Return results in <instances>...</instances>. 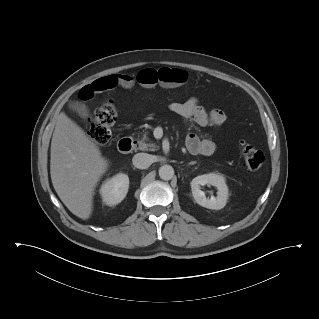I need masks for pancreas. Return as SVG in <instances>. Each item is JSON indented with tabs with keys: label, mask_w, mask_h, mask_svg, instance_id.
<instances>
[{
	"label": "pancreas",
	"mask_w": 319,
	"mask_h": 319,
	"mask_svg": "<svg viewBox=\"0 0 319 319\" xmlns=\"http://www.w3.org/2000/svg\"><path fill=\"white\" fill-rule=\"evenodd\" d=\"M148 132H145L142 138L138 141V148L142 151H156L159 149L155 143H152L147 136Z\"/></svg>",
	"instance_id": "1"
}]
</instances>
